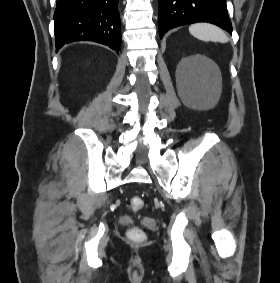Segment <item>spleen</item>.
Segmentation results:
<instances>
[{
    "instance_id": "3e777b00",
    "label": "spleen",
    "mask_w": 280,
    "mask_h": 283,
    "mask_svg": "<svg viewBox=\"0 0 280 283\" xmlns=\"http://www.w3.org/2000/svg\"><path fill=\"white\" fill-rule=\"evenodd\" d=\"M189 32L194 37L206 42L227 43L229 41L222 29L209 23H195L189 27Z\"/></svg>"
}]
</instances>
